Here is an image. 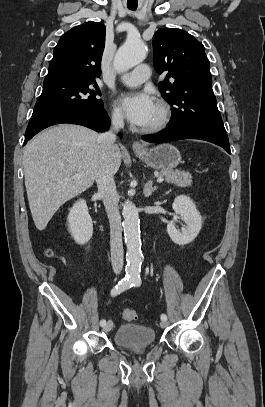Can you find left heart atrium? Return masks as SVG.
I'll use <instances>...</instances> for the list:
<instances>
[{
  "instance_id": "39dd6f15",
  "label": "left heart atrium",
  "mask_w": 265,
  "mask_h": 407,
  "mask_svg": "<svg viewBox=\"0 0 265 407\" xmlns=\"http://www.w3.org/2000/svg\"><path fill=\"white\" fill-rule=\"evenodd\" d=\"M118 102L129 121L137 126H145L156 107L153 97L148 92L125 94Z\"/></svg>"
}]
</instances>
